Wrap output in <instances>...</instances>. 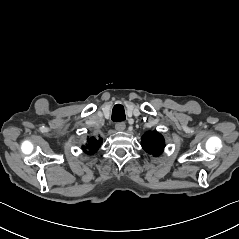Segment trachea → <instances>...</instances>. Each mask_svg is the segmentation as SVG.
<instances>
[{"label": "trachea", "instance_id": "trachea-1", "mask_svg": "<svg viewBox=\"0 0 239 239\" xmlns=\"http://www.w3.org/2000/svg\"><path fill=\"white\" fill-rule=\"evenodd\" d=\"M112 120L122 122L125 120V110L122 104H116L112 109Z\"/></svg>", "mask_w": 239, "mask_h": 239}]
</instances>
